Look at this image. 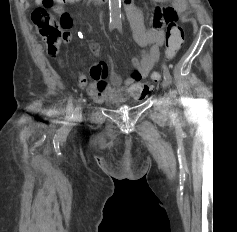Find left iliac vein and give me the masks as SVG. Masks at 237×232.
<instances>
[{
    "label": "left iliac vein",
    "instance_id": "1",
    "mask_svg": "<svg viewBox=\"0 0 237 232\" xmlns=\"http://www.w3.org/2000/svg\"><path fill=\"white\" fill-rule=\"evenodd\" d=\"M162 87L165 89V90H168L169 89V81L167 79H163V82H162ZM170 100V93H168L167 95V102H169Z\"/></svg>",
    "mask_w": 237,
    "mask_h": 232
}]
</instances>
